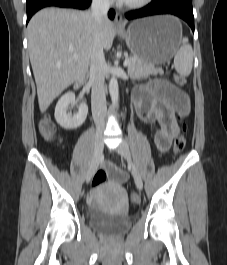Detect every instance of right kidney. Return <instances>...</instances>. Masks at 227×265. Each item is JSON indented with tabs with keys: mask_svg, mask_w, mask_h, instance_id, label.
I'll list each match as a JSON object with an SVG mask.
<instances>
[{
	"mask_svg": "<svg viewBox=\"0 0 227 265\" xmlns=\"http://www.w3.org/2000/svg\"><path fill=\"white\" fill-rule=\"evenodd\" d=\"M74 102L75 94L73 92H67L57 102L55 119L65 129H76L86 120L88 106L85 103L79 105L78 112L75 115L72 116L71 113H67L69 105Z\"/></svg>",
	"mask_w": 227,
	"mask_h": 265,
	"instance_id": "right-kidney-1",
	"label": "right kidney"
}]
</instances>
